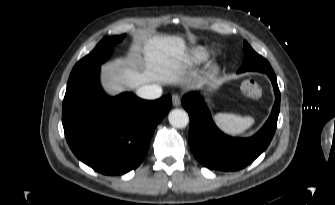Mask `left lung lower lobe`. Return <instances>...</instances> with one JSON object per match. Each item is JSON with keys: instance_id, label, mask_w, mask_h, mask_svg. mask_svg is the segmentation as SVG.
<instances>
[{"instance_id": "0a47b994", "label": "left lung lower lobe", "mask_w": 335, "mask_h": 205, "mask_svg": "<svg viewBox=\"0 0 335 205\" xmlns=\"http://www.w3.org/2000/svg\"><path fill=\"white\" fill-rule=\"evenodd\" d=\"M266 74L273 85L275 103L264 126L250 138H233L221 132L198 94L189 93L182 98V105L190 117L188 141L191 152L204 166L220 171H237L252 163L268 147L277 127L280 91L275 73Z\"/></svg>"}]
</instances>
